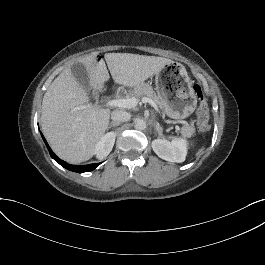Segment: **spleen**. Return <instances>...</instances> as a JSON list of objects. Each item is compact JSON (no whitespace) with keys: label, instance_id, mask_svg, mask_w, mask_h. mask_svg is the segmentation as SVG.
I'll list each match as a JSON object with an SVG mask.
<instances>
[{"label":"spleen","instance_id":"1","mask_svg":"<svg viewBox=\"0 0 265 265\" xmlns=\"http://www.w3.org/2000/svg\"><path fill=\"white\" fill-rule=\"evenodd\" d=\"M165 138H166L168 141H172V142H177V141L179 140L177 136H175V135H171V134L166 135ZM195 143H196V140H190V141L188 142V146H189V148H191ZM204 150H205V147H202V148L198 151V153L203 152Z\"/></svg>","mask_w":265,"mask_h":265}]
</instances>
